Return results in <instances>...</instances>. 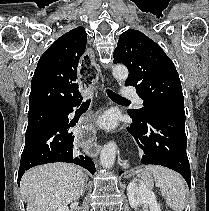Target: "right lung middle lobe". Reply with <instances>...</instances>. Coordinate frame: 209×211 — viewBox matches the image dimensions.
Here are the masks:
<instances>
[{
  "label": "right lung middle lobe",
  "mask_w": 209,
  "mask_h": 211,
  "mask_svg": "<svg viewBox=\"0 0 209 211\" xmlns=\"http://www.w3.org/2000/svg\"><path fill=\"white\" fill-rule=\"evenodd\" d=\"M62 108H47L28 112V126L25 141L31 140L37 133L54 121L61 113Z\"/></svg>",
  "instance_id": "right-lung-middle-lobe-1"
}]
</instances>
